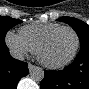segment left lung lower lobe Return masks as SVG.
<instances>
[{"label": "left lung lower lobe", "instance_id": "1", "mask_svg": "<svg viewBox=\"0 0 89 89\" xmlns=\"http://www.w3.org/2000/svg\"><path fill=\"white\" fill-rule=\"evenodd\" d=\"M44 72L41 89H89V46L81 47L76 59L64 70Z\"/></svg>", "mask_w": 89, "mask_h": 89}]
</instances>
